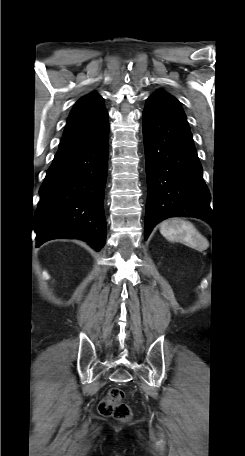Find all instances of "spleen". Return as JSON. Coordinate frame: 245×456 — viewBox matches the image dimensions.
Instances as JSON below:
<instances>
[{"mask_svg": "<svg viewBox=\"0 0 245 456\" xmlns=\"http://www.w3.org/2000/svg\"><path fill=\"white\" fill-rule=\"evenodd\" d=\"M160 233L170 241H182L195 249L208 247L207 240L197 231L195 226L181 218H172L160 224Z\"/></svg>", "mask_w": 245, "mask_h": 456, "instance_id": "3e777b00", "label": "spleen"}]
</instances>
